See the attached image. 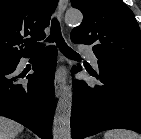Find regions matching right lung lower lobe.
Segmentation results:
<instances>
[{
	"mask_svg": "<svg viewBox=\"0 0 141 139\" xmlns=\"http://www.w3.org/2000/svg\"><path fill=\"white\" fill-rule=\"evenodd\" d=\"M21 57L36 59L28 84L18 82L22 75L16 74V67ZM21 57L0 66V116L19 122L42 139H52L56 49H39Z\"/></svg>",
	"mask_w": 141,
	"mask_h": 139,
	"instance_id": "1",
	"label": "right lung lower lobe"
}]
</instances>
